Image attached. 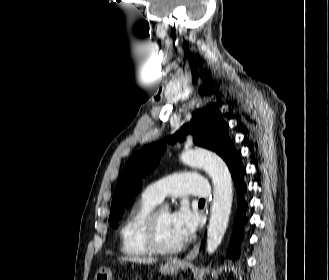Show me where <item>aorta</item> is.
<instances>
[{"mask_svg": "<svg viewBox=\"0 0 329 280\" xmlns=\"http://www.w3.org/2000/svg\"><path fill=\"white\" fill-rule=\"evenodd\" d=\"M180 158L186 165L202 167L212 179L213 202L206 251L213 254L222 242L231 213L233 186L230 171L219 156L206 150H186Z\"/></svg>", "mask_w": 329, "mask_h": 280, "instance_id": "1", "label": "aorta"}]
</instances>
